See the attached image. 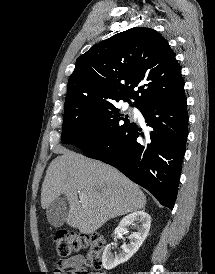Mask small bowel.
Listing matches in <instances>:
<instances>
[{
    "label": "small bowel",
    "instance_id": "c3829d8e",
    "mask_svg": "<svg viewBox=\"0 0 215 274\" xmlns=\"http://www.w3.org/2000/svg\"><path fill=\"white\" fill-rule=\"evenodd\" d=\"M85 271L84 269V257L82 255H74L69 258L60 260L56 263L53 269L54 274H80ZM99 274H107L105 272Z\"/></svg>",
    "mask_w": 215,
    "mask_h": 274
}]
</instances>
